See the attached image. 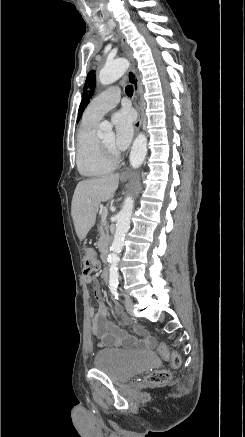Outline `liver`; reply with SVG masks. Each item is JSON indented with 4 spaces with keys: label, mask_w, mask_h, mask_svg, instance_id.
Wrapping results in <instances>:
<instances>
[{
    "label": "liver",
    "mask_w": 245,
    "mask_h": 437,
    "mask_svg": "<svg viewBox=\"0 0 245 437\" xmlns=\"http://www.w3.org/2000/svg\"><path fill=\"white\" fill-rule=\"evenodd\" d=\"M118 185L119 174L87 179L77 184L72 198L71 215L80 240L85 239L95 225L100 203L109 200Z\"/></svg>",
    "instance_id": "obj_1"
}]
</instances>
